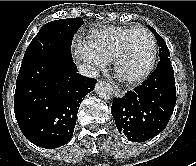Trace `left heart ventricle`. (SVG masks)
Wrapping results in <instances>:
<instances>
[{
  "label": "left heart ventricle",
  "instance_id": "1",
  "mask_svg": "<svg viewBox=\"0 0 196 166\" xmlns=\"http://www.w3.org/2000/svg\"><path fill=\"white\" fill-rule=\"evenodd\" d=\"M150 57V38L144 32L135 33L129 42L128 52L121 63V74L126 77L138 74L147 66Z\"/></svg>",
  "mask_w": 196,
  "mask_h": 166
}]
</instances>
